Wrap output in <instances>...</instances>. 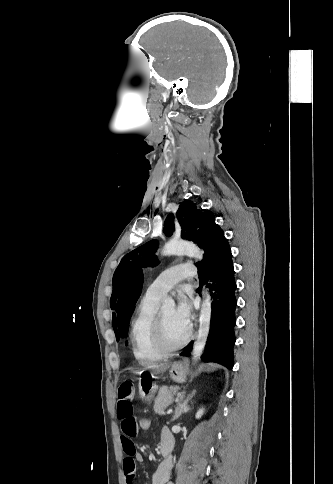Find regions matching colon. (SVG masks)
Instances as JSON below:
<instances>
[{"instance_id": "5ec220e1", "label": "colon", "mask_w": 333, "mask_h": 484, "mask_svg": "<svg viewBox=\"0 0 333 484\" xmlns=\"http://www.w3.org/2000/svg\"><path fill=\"white\" fill-rule=\"evenodd\" d=\"M137 425H138L139 432H147L150 430L152 426V421L147 416H141L137 420Z\"/></svg>"}]
</instances>
